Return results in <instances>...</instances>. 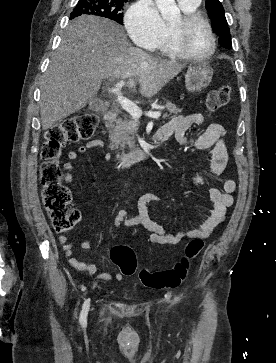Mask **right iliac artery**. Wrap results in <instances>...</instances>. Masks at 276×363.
Returning <instances> with one entry per match:
<instances>
[{
  "label": "right iliac artery",
  "instance_id": "1",
  "mask_svg": "<svg viewBox=\"0 0 276 363\" xmlns=\"http://www.w3.org/2000/svg\"><path fill=\"white\" fill-rule=\"evenodd\" d=\"M86 288L85 287H82V291H84Z\"/></svg>",
  "mask_w": 276,
  "mask_h": 363
}]
</instances>
